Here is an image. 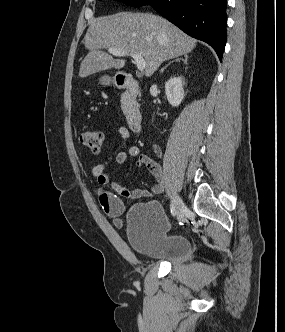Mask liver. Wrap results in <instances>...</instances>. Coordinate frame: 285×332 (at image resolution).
Listing matches in <instances>:
<instances>
[{
	"mask_svg": "<svg viewBox=\"0 0 285 332\" xmlns=\"http://www.w3.org/2000/svg\"><path fill=\"white\" fill-rule=\"evenodd\" d=\"M196 42L166 19L150 13L120 12L99 17L91 21L84 37L89 53L80 65L79 76L123 68L124 59L101 51L116 48L140 54L146 61L145 76L149 77L164 61L190 53Z\"/></svg>",
	"mask_w": 285,
	"mask_h": 332,
	"instance_id": "obj_1",
	"label": "liver"
}]
</instances>
